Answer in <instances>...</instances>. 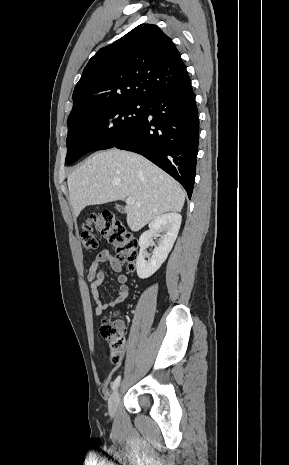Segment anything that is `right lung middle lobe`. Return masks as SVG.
<instances>
[{"instance_id":"dd1d6c3e","label":"right lung middle lobe","mask_w":289,"mask_h":465,"mask_svg":"<svg viewBox=\"0 0 289 465\" xmlns=\"http://www.w3.org/2000/svg\"><path fill=\"white\" fill-rule=\"evenodd\" d=\"M147 101L119 100L87 106L82 119L68 129L66 164L84 154L109 149L126 137L144 118Z\"/></svg>"}]
</instances>
